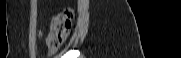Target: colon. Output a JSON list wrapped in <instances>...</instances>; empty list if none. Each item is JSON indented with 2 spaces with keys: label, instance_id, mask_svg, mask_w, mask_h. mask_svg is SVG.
Wrapping results in <instances>:
<instances>
[{
  "label": "colon",
  "instance_id": "obj_1",
  "mask_svg": "<svg viewBox=\"0 0 181 58\" xmlns=\"http://www.w3.org/2000/svg\"><path fill=\"white\" fill-rule=\"evenodd\" d=\"M73 21V11L65 9L54 16L51 23V31L48 36V45L50 48H59L68 37Z\"/></svg>",
  "mask_w": 181,
  "mask_h": 58
}]
</instances>
